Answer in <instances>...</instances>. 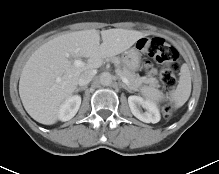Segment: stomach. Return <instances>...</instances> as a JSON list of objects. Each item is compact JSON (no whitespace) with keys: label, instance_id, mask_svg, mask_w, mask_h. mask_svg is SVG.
<instances>
[{"label":"stomach","instance_id":"stomach-1","mask_svg":"<svg viewBox=\"0 0 219 174\" xmlns=\"http://www.w3.org/2000/svg\"><path fill=\"white\" fill-rule=\"evenodd\" d=\"M124 55L123 62L126 68L133 72L136 71L141 62V50L135 46L127 50Z\"/></svg>","mask_w":219,"mask_h":174}]
</instances>
